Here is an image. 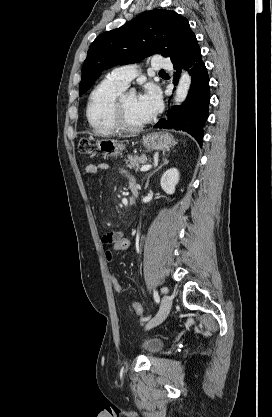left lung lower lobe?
<instances>
[{
	"label": "left lung lower lobe",
	"instance_id": "obj_1",
	"mask_svg": "<svg viewBox=\"0 0 272 417\" xmlns=\"http://www.w3.org/2000/svg\"><path fill=\"white\" fill-rule=\"evenodd\" d=\"M177 71L173 82L177 84L181 68L191 75V87L188 97L180 106L168 110L167 118L160 119L154 128L183 130L191 134L201 145L203 126L208 117L210 102L209 76L201 58L199 46L179 62L173 64Z\"/></svg>",
	"mask_w": 272,
	"mask_h": 417
}]
</instances>
